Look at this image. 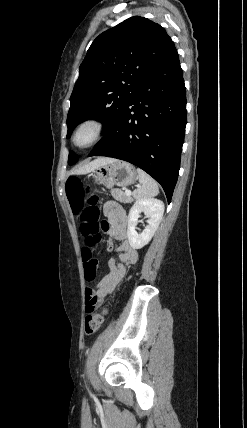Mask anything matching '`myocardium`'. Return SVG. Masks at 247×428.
Instances as JSON below:
<instances>
[{
	"instance_id": "obj_1",
	"label": "myocardium",
	"mask_w": 247,
	"mask_h": 428,
	"mask_svg": "<svg viewBox=\"0 0 247 428\" xmlns=\"http://www.w3.org/2000/svg\"><path fill=\"white\" fill-rule=\"evenodd\" d=\"M89 130L90 137L84 142L80 143L78 137L82 131ZM105 130L104 122L98 117H88L81 120L75 127L72 136L71 142L74 147L78 149H88L94 146L102 138Z\"/></svg>"
}]
</instances>
